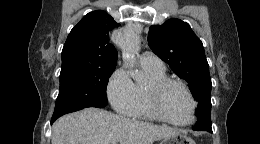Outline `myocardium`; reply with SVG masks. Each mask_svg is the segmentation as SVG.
Instances as JSON below:
<instances>
[{"label":"myocardium","instance_id":"1","mask_svg":"<svg viewBox=\"0 0 260 144\" xmlns=\"http://www.w3.org/2000/svg\"><path fill=\"white\" fill-rule=\"evenodd\" d=\"M173 86H179L181 87L187 96L189 97L192 105V110H191V117L187 122H177L172 119H170L163 111L162 106H161V100L165 94V92L173 87ZM147 102L149 105V108L153 115L168 124L174 125V126H179V127H185L193 123L195 120L196 116V109H197V102L190 90V88L182 81L177 80V79H171V78H165L161 80H155L152 81L148 88H147Z\"/></svg>","mask_w":260,"mask_h":144}]
</instances>
